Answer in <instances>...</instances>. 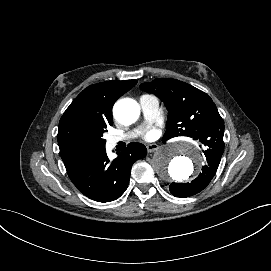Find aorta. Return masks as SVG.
Listing matches in <instances>:
<instances>
[{
	"label": "aorta",
	"mask_w": 271,
	"mask_h": 271,
	"mask_svg": "<svg viewBox=\"0 0 271 271\" xmlns=\"http://www.w3.org/2000/svg\"><path fill=\"white\" fill-rule=\"evenodd\" d=\"M115 119L124 124L134 123L140 115L138 103L132 99H122L113 108ZM202 162L197 150L185 142L169 144L159 149L152 159L154 171L163 179L185 181Z\"/></svg>",
	"instance_id": "aorta-1"
}]
</instances>
